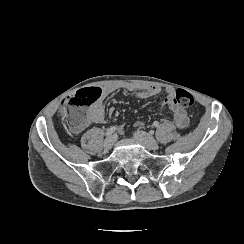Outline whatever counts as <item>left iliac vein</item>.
Listing matches in <instances>:
<instances>
[{"instance_id": "obj_1", "label": "left iliac vein", "mask_w": 244, "mask_h": 244, "mask_svg": "<svg viewBox=\"0 0 244 244\" xmlns=\"http://www.w3.org/2000/svg\"><path fill=\"white\" fill-rule=\"evenodd\" d=\"M134 138L149 150L157 149L158 147L156 140L144 131H136L134 133Z\"/></svg>"}]
</instances>
